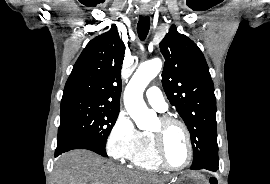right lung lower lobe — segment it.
Masks as SVG:
<instances>
[{"label":"right lung lower lobe","instance_id":"right-lung-lower-lobe-1","mask_svg":"<svg viewBox=\"0 0 270 184\" xmlns=\"http://www.w3.org/2000/svg\"><path fill=\"white\" fill-rule=\"evenodd\" d=\"M73 149L91 150L103 157H107V153L105 149H102L100 146H98L97 144L91 141L83 140V139H70V140L59 142L55 150V157Z\"/></svg>","mask_w":270,"mask_h":184}]
</instances>
